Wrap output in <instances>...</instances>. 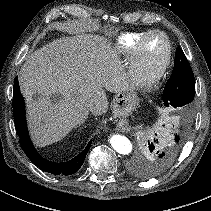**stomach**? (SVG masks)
<instances>
[{
  "label": "stomach",
  "mask_w": 211,
  "mask_h": 211,
  "mask_svg": "<svg viewBox=\"0 0 211 211\" xmlns=\"http://www.w3.org/2000/svg\"><path fill=\"white\" fill-rule=\"evenodd\" d=\"M139 99L134 91L118 93L113 99V114L116 117H127L138 106Z\"/></svg>",
  "instance_id": "obj_1"
}]
</instances>
